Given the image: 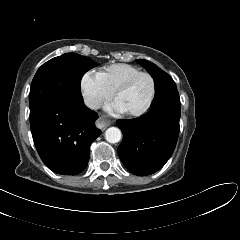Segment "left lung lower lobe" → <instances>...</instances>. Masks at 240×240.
<instances>
[{
  "label": "left lung lower lobe",
  "instance_id": "obj_1",
  "mask_svg": "<svg viewBox=\"0 0 240 240\" xmlns=\"http://www.w3.org/2000/svg\"><path fill=\"white\" fill-rule=\"evenodd\" d=\"M180 104L152 106L142 117L118 120L123 132L118 155L125 167L138 176L150 175L170 159L179 135Z\"/></svg>",
  "mask_w": 240,
  "mask_h": 240
}]
</instances>
